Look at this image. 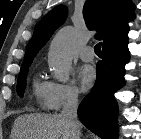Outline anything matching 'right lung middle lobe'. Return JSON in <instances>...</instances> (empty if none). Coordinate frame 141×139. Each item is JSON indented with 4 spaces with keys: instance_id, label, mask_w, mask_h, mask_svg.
<instances>
[{
    "instance_id": "right-lung-middle-lobe-1",
    "label": "right lung middle lobe",
    "mask_w": 141,
    "mask_h": 139,
    "mask_svg": "<svg viewBox=\"0 0 141 139\" xmlns=\"http://www.w3.org/2000/svg\"><path fill=\"white\" fill-rule=\"evenodd\" d=\"M29 66L21 67L20 74L17 81V94L20 97H23L25 85H26V76L28 73Z\"/></svg>"
}]
</instances>
